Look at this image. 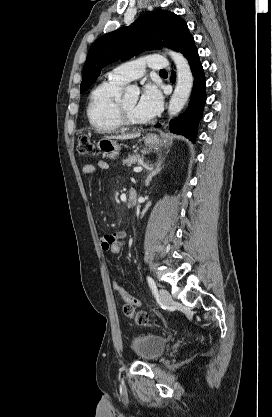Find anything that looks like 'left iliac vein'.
Wrapping results in <instances>:
<instances>
[{"mask_svg":"<svg viewBox=\"0 0 272 417\" xmlns=\"http://www.w3.org/2000/svg\"><path fill=\"white\" fill-rule=\"evenodd\" d=\"M159 300L165 307H168L172 303V297L166 289L159 290Z\"/></svg>","mask_w":272,"mask_h":417,"instance_id":"left-iliac-vein-1","label":"left iliac vein"}]
</instances>
